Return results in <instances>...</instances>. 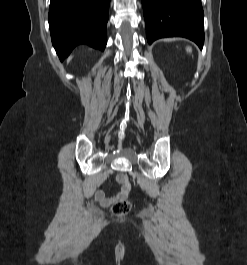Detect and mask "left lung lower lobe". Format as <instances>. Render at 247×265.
<instances>
[{
    "instance_id": "obj_1",
    "label": "left lung lower lobe",
    "mask_w": 247,
    "mask_h": 265,
    "mask_svg": "<svg viewBox=\"0 0 247 265\" xmlns=\"http://www.w3.org/2000/svg\"><path fill=\"white\" fill-rule=\"evenodd\" d=\"M148 43L162 37H185L204 43L200 0H142Z\"/></svg>"
}]
</instances>
